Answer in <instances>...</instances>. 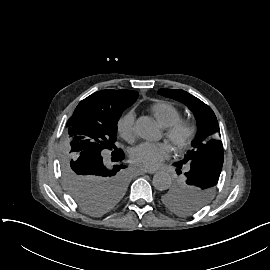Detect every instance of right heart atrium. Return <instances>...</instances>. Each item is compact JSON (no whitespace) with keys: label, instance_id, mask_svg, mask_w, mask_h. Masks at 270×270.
Masks as SVG:
<instances>
[{"label":"right heart atrium","instance_id":"1","mask_svg":"<svg viewBox=\"0 0 270 270\" xmlns=\"http://www.w3.org/2000/svg\"><path fill=\"white\" fill-rule=\"evenodd\" d=\"M136 119L133 111H129L121 116L117 122V131L119 135L129 143L136 140Z\"/></svg>","mask_w":270,"mask_h":270}]
</instances>
